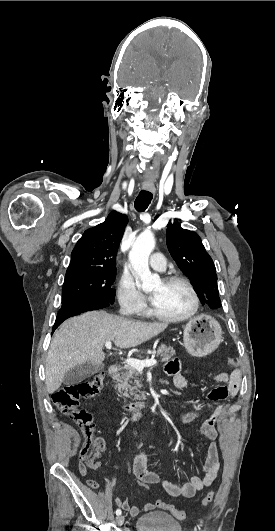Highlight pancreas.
I'll return each instance as SVG.
<instances>
[{
    "label": "pancreas",
    "mask_w": 275,
    "mask_h": 531,
    "mask_svg": "<svg viewBox=\"0 0 275 531\" xmlns=\"http://www.w3.org/2000/svg\"><path fill=\"white\" fill-rule=\"evenodd\" d=\"M157 355L162 357V361H169L172 359L173 355H176L173 347H167V345H160L157 349ZM143 359V357H140ZM115 387H117L120 395L122 397H127V399H141L142 395H136V393H142L139 391L141 389V381H139V373L135 367L131 365H123V367H118V373L112 377ZM123 391V393H122Z\"/></svg>",
    "instance_id": "pancreas-1"
}]
</instances>
